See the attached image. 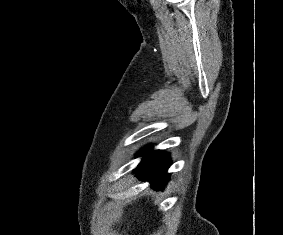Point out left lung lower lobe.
<instances>
[{"mask_svg":"<svg viewBox=\"0 0 283 235\" xmlns=\"http://www.w3.org/2000/svg\"><path fill=\"white\" fill-rule=\"evenodd\" d=\"M146 152L148 150L144 149L141 154ZM170 165L169 154L158 150L151 151L143 157L135 173L139 180L150 181L154 189L162 190L169 177L166 171Z\"/></svg>","mask_w":283,"mask_h":235,"instance_id":"0a47b994","label":"left lung lower lobe"}]
</instances>
